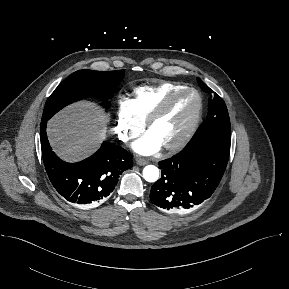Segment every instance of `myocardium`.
Here are the masks:
<instances>
[{"label": "myocardium", "mask_w": 289, "mask_h": 289, "mask_svg": "<svg viewBox=\"0 0 289 289\" xmlns=\"http://www.w3.org/2000/svg\"><path fill=\"white\" fill-rule=\"evenodd\" d=\"M185 93H192L196 96L197 108L189 126L187 127L183 135L178 140L163 146V148L167 151H174L180 149L181 147H183L185 144L188 143V141L192 138V136L196 132L203 111V99L200 92L197 89L189 86H185L171 92L150 113L145 122L146 129L147 131H149L152 125L166 113V111L169 109L174 100Z\"/></svg>", "instance_id": "myocardium-1"}]
</instances>
